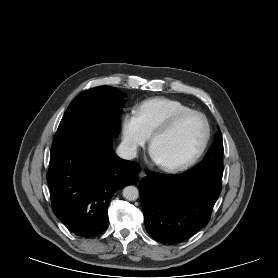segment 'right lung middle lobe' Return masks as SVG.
<instances>
[{
    "label": "right lung middle lobe",
    "instance_id": "dd1d6c3e",
    "mask_svg": "<svg viewBox=\"0 0 278 278\" xmlns=\"http://www.w3.org/2000/svg\"><path fill=\"white\" fill-rule=\"evenodd\" d=\"M124 98L120 90L110 86L82 92L66 110L51 149L88 137H117Z\"/></svg>",
    "mask_w": 278,
    "mask_h": 278
}]
</instances>
